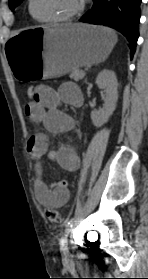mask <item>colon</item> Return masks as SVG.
Here are the masks:
<instances>
[{
	"label": "colon",
	"instance_id": "1",
	"mask_svg": "<svg viewBox=\"0 0 148 279\" xmlns=\"http://www.w3.org/2000/svg\"><path fill=\"white\" fill-rule=\"evenodd\" d=\"M37 95H38L37 87L30 86L27 88L26 96L29 99L33 100ZM46 216L51 222L60 223L63 221V216L61 215V213L58 210L51 207L47 208Z\"/></svg>",
	"mask_w": 148,
	"mask_h": 279
}]
</instances>
